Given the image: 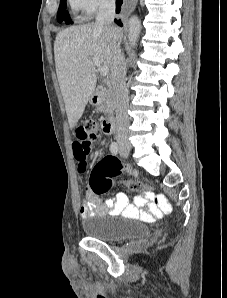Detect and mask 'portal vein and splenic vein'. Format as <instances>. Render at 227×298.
Instances as JSON below:
<instances>
[{
    "label": "portal vein and splenic vein",
    "instance_id": "portal-vein-and-splenic-vein-1",
    "mask_svg": "<svg viewBox=\"0 0 227 298\" xmlns=\"http://www.w3.org/2000/svg\"><path fill=\"white\" fill-rule=\"evenodd\" d=\"M93 63L95 64V66L98 67L99 71H100V75L103 77H106L109 73V68L107 66H102L99 59L96 57L92 58Z\"/></svg>",
    "mask_w": 227,
    "mask_h": 298
}]
</instances>
